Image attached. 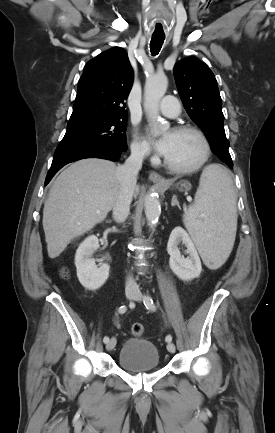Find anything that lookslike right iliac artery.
I'll return each instance as SVG.
<instances>
[{
  "mask_svg": "<svg viewBox=\"0 0 275 433\" xmlns=\"http://www.w3.org/2000/svg\"><path fill=\"white\" fill-rule=\"evenodd\" d=\"M131 304H132V303H130V305H131ZM126 310H127V307H126L125 305H122V306L119 307L118 312H119L120 314H123V313L126 312ZM108 341H109V337L105 336V337L103 338V342H104V343H107Z\"/></svg>",
  "mask_w": 275,
  "mask_h": 433,
  "instance_id": "obj_1",
  "label": "right iliac artery"
}]
</instances>
